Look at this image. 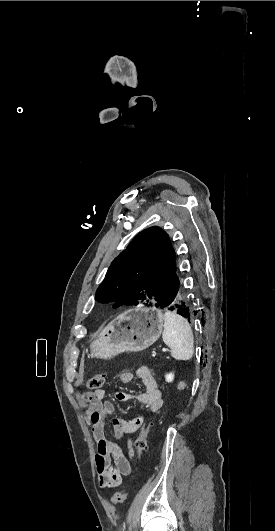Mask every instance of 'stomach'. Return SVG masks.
Returning <instances> with one entry per match:
<instances>
[{
    "mask_svg": "<svg viewBox=\"0 0 275 531\" xmlns=\"http://www.w3.org/2000/svg\"><path fill=\"white\" fill-rule=\"evenodd\" d=\"M163 327L160 309H129L103 329L91 343L90 353L96 359H114L119 353L144 351L159 339Z\"/></svg>",
    "mask_w": 275,
    "mask_h": 531,
    "instance_id": "obj_1",
    "label": "stomach"
}]
</instances>
